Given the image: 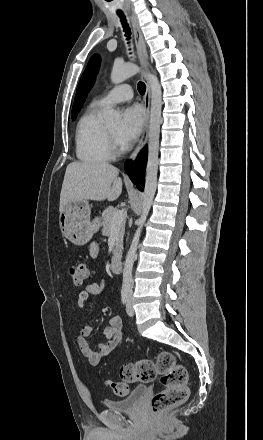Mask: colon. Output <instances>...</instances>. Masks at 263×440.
<instances>
[{
	"mask_svg": "<svg viewBox=\"0 0 263 440\" xmlns=\"http://www.w3.org/2000/svg\"><path fill=\"white\" fill-rule=\"evenodd\" d=\"M68 272L73 283L78 286L84 284L90 276V269L83 263L69 264ZM119 375L130 383H149L160 375L164 388L151 399L150 408L154 414H161L171 408L178 407L188 398L187 369L176 361L171 352L158 353L155 361L141 359L126 363L119 368ZM106 385L120 396L126 395L129 391L126 383L107 380Z\"/></svg>",
	"mask_w": 263,
	"mask_h": 440,
	"instance_id": "obj_1",
	"label": "colon"
}]
</instances>
